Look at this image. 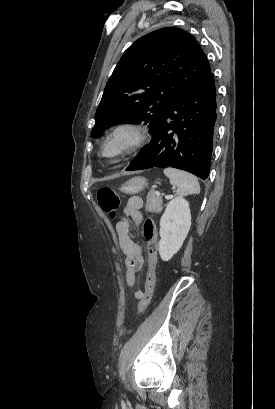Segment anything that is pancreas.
<instances>
[{
  "label": "pancreas",
  "mask_w": 275,
  "mask_h": 409,
  "mask_svg": "<svg viewBox=\"0 0 275 409\" xmlns=\"http://www.w3.org/2000/svg\"><path fill=\"white\" fill-rule=\"evenodd\" d=\"M163 200L160 194H155L154 190H150L147 194L146 211L149 213H161Z\"/></svg>",
  "instance_id": "1"
}]
</instances>
